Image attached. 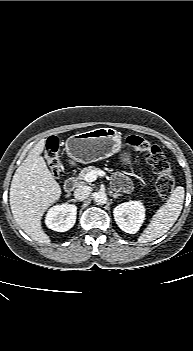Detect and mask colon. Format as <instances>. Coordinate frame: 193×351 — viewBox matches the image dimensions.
Listing matches in <instances>:
<instances>
[{
  "instance_id": "obj_1",
  "label": "colon",
  "mask_w": 193,
  "mask_h": 351,
  "mask_svg": "<svg viewBox=\"0 0 193 351\" xmlns=\"http://www.w3.org/2000/svg\"><path fill=\"white\" fill-rule=\"evenodd\" d=\"M126 143L137 153L146 157L156 177V190L162 199H168L173 192L175 180L171 167L162 150L155 144L139 135H129ZM45 160L55 177L61 173V163L59 159V141L56 137H50L46 142L44 151Z\"/></svg>"
}]
</instances>
